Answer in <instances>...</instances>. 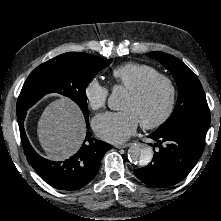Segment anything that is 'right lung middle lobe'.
I'll return each instance as SVG.
<instances>
[{"label":"right lung middle lobe","instance_id":"right-lung-middle-lobe-1","mask_svg":"<svg viewBox=\"0 0 221 221\" xmlns=\"http://www.w3.org/2000/svg\"><path fill=\"white\" fill-rule=\"evenodd\" d=\"M112 59L84 53H64L34 69L27 78L17 101V117L45 94L56 92L71 98L88 119L86 87Z\"/></svg>","mask_w":221,"mask_h":221}]
</instances>
